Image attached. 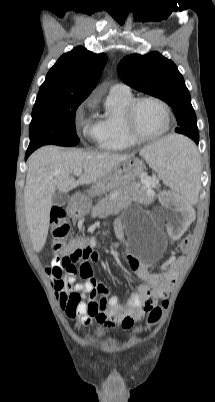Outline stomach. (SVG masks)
<instances>
[{"mask_svg": "<svg viewBox=\"0 0 215 402\" xmlns=\"http://www.w3.org/2000/svg\"><path fill=\"white\" fill-rule=\"evenodd\" d=\"M144 169L145 165L141 160L128 158L96 182L89 193L92 196H99L114 189L126 187L134 182ZM90 206V202L87 201H80L76 204L77 210L82 214L88 212Z\"/></svg>", "mask_w": 215, "mask_h": 402, "instance_id": "1", "label": "stomach"}]
</instances>
